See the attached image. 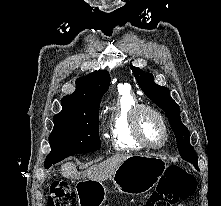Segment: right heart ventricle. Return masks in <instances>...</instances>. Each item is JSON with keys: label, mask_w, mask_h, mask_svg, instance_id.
<instances>
[{"label": "right heart ventricle", "mask_w": 221, "mask_h": 206, "mask_svg": "<svg viewBox=\"0 0 221 206\" xmlns=\"http://www.w3.org/2000/svg\"><path fill=\"white\" fill-rule=\"evenodd\" d=\"M137 104L136 97L128 87L120 86L108 124L110 141L117 151L143 148L135 140L131 128V114Z\"/></svg>", "instance_id": "1"}]
</instances>
